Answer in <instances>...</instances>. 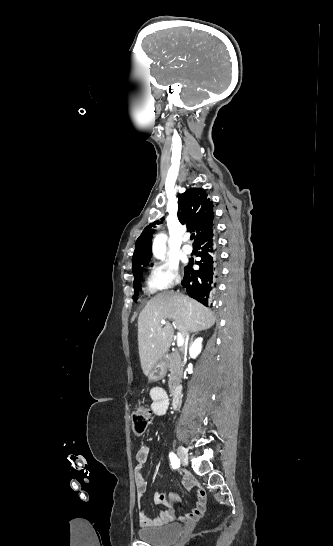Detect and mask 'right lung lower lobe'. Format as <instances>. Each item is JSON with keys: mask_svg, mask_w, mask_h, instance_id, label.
Masks as SVG:
<instances>
[{"mask_svg": "<svg viewBox=\"0 0 333 546\" xmlns=\"http://www.w3.org/2000/svg\"><path fill=\"white\" fill-rule=\"evenodd\" d=\"M195 242L198 248L201 249L198 254L201 260L194 261L190 259V263L184 268L182 285L190 297L206 307H211L219 274L218 250L213 227L208 229ZM194 264L199 265V270L193 269Z\"/></svg>", "mask_w": 333, "mask_h": 546, "instance_id": "98d812e1", "label": "right lung lower lobe"}]
</instances>
